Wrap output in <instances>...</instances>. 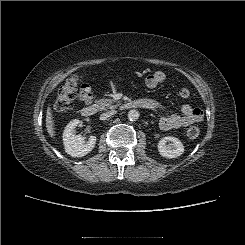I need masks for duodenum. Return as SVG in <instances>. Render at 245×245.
I'll return each mask as SVG.
<instances>
[{
    "label": "duodenum",
    "instance_id": "1",
    "mask_svg": "<svg viewBox=\"0 0 245 245\" xmlns=\"http://www.w3.org/2000/svg\"><path fill=\"white\" fill-rule=\"evenodd\" d=\"M142 106L140 102L138 101H128V102H124L121 106L120 109L125 111V110H130L133 108H137ZM82 115L84 117H92L93 115L96 114L97 112V107L94 104H87L86 106L83 107L82 109Z\"/></svg>",
    "mask_w": 245,
    "mask_h": 245
}]
</instances>
